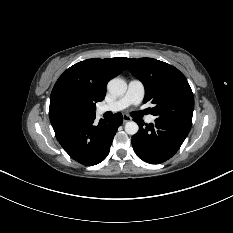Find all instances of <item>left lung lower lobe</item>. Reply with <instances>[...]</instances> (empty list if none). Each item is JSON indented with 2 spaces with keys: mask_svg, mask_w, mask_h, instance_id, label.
<instances>
[{
  "mask_svg": "<svg viewBox=\"0 0 233 233\" xmlns=\"http://www.w3.org/2000/svg\"><path fill=\"white\" fill-rule=\"evenodd\" d=\"M139 131L132 137V146L139 158L151 164H160L170 159L180 148L190 128L174 122L156 119L144 124L135 120Z\"/></svg>",
  "mask_w": 233,
  "mask_h": 233,
  "instance_id": "0a47b994",
  "label": "left lung lower lobe"
}]
</instances>
